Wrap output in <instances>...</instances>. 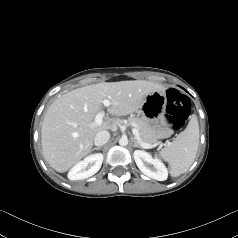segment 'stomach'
<instances>
[{"instance_id":"0dacf381","label":"stomach","mask_w":238,"mask_h":238,"mask_svg":"<svg viewBox=\"0 0 238 238\" xmlns=\"http://www.w3.org/2000/svg\"><path fill=\"white\" fill-rule=\"evenodd\" d=\"M167 98L164 92L155 91L146 96L138 113L142 119L154 125L160 132H168V124L164 121Z\"/></svg>"}]
</instances>
